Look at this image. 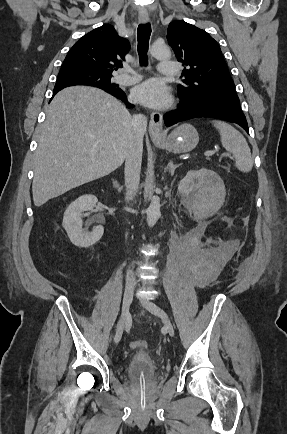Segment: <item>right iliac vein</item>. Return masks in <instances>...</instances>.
I'll return each mask as SVG.
<instances>
[{
	"instance_id": "obj_1",
	"label": "right iliac vein",
	"mask_w": 287,
	"mask_h": 434,
	"mask_svg": "<svg viewBox=\"0 0 287 434\" xmlns=\"http://www.w3.org/2000/svg\"><path fill=\"white\" fill-rule=\"evenodd\" d=\"M133 293H134V284L127 283V285L125 287L124 295H123L122 314H121L122 319H121V322H120V324L116 330L115 337H114V342L116 344L119 343V341L121 340L125 324L128 320L129 309H130V305H131L132 300H133Z\"/></svg>"
}]
</instances>
